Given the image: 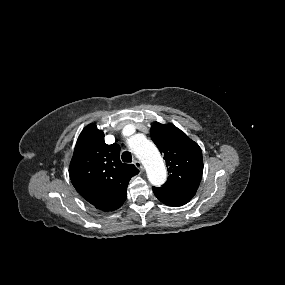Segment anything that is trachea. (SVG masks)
Instances as JSON below:
<instances>
[{
  "label": "trachea",
  "mask_w": 285,
  "mask_h": 285,
  "mask_svg": "<svg viewBox=\"0 0 285 285\" xmlns=\"http://www.w3.org/2000/svg\"><path fill=\"white\" fill-rule=\"evenodd\" d=\"M122 161L126 162V163L132 162V155H131V153L128 152V151L123 152V154H122Z\"/></svg>",
  "instance_id": "1"
}]
</instances>
